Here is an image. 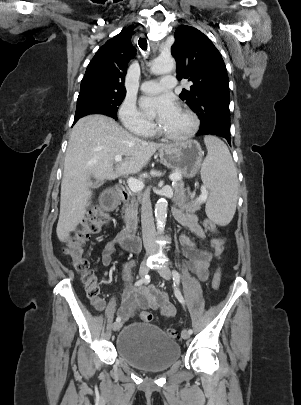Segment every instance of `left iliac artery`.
<instances>
[{"label": "left iliac artery", "mask_w": 301, "mask_h": 405, "mask_svg": "<svg viewBox=\"0 0 301 405\" xmlns=\"http://www.w3.org/2000/svg\"><path fill=\"white\" fill-rule=\"evenodd\" d=\"M172 275H173V281H174V286H175V296L177 297L178 301H179L182 305H184V304H185V300H184V298H183V296H182V294H181V292H180V290H179V288H178L179 283H180V274H179L178 271L173 270V271H172ZM188 332H189L190 334H192L193 331H192V329H189Z\"/></svg>", "instance_id": "left-iliac-artery-1"}]
</instances>
